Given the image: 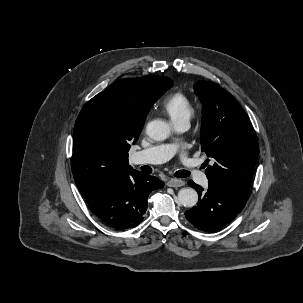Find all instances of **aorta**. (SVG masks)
<instances>
[{
  "mask_svg": "<svg viewBox=\"0 0 303 303\" xmlns=\"http://www.w3.org/2000/svg\"><path fill=\"white\" fill-rule=\"evenodd\" d=\"M147 135L155 141H163L169 137L171 129L162 120H152L146 126ZM177 201L184 207H194L198 202V194L193 188H182L178 192Z\"/></svg>",
  "mask_w": 303,
  "mask_h": 303,
  "instance_id": "762f6f07",
  "label": "aorta"
}]
</instances>
